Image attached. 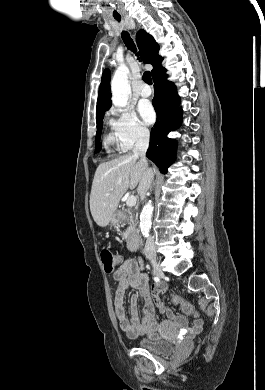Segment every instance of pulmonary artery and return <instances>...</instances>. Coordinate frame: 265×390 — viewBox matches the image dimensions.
Masks as SVG:
<instances>
[{
  "label": "pulmonary artery",
  "instance_id": "pulmonary-artery-1",
  "mask_svg": "<svg viewBox=\"0 0 265 390\" xmlns=\"http://www.w3.org/2000/svg\"><path fill=\"white\" fill-rule=\"evenodd\" d=\"M138 94L143 97H149L151 95V88L146 84H141L138 88Z\"/></svg>",
  "mask_w": 265,
  "mask_h": 390
}]
</instances>
